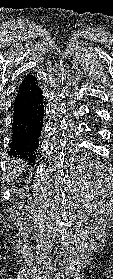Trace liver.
Wrapping results in <instances>:
<instances>
[{
  "label": "liver",
  "mask_w": 113,
  "mask_h": 279,
  "mask_svg": "<svg viewBox=\"0 0 113 279\" xmlns=\"http://www.w3.org/2000/svg\"><path fill=\"white\" fill-rule=\"evenodd\" d=\"M26 166L27 164L20 160H12L8 165L7 174L3 181L10 182L11 180H14L21 174Z\"/></svg>",
  "instance_id": "liver-1"
}]
</instances>
